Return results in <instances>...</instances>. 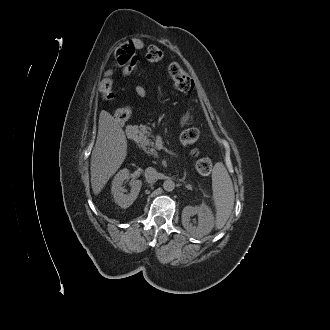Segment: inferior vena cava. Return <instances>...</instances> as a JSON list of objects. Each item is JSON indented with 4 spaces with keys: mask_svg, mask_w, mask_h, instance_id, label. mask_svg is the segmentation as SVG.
<instances>
[{
    "mask_svg": "<svg viewBox=\"0 0 330 330\" xmlns=\"http://www.w3.org/2000/svg\"><path fill=\"white\" fill-rule=\"evenodd\" d=\"M145 179L148 183H152L158 179V172L152 167H148L144 173Z\"/></svg>",
    "mask_w": 330,
    "mask_h": 330,
    "instance_id": "602c4592",
    "label": "inferior vena cava"
}]
</instances>
